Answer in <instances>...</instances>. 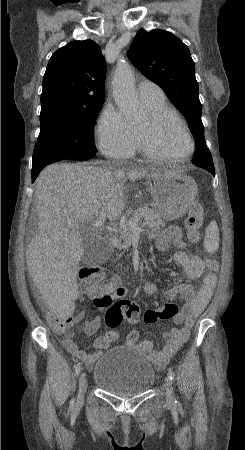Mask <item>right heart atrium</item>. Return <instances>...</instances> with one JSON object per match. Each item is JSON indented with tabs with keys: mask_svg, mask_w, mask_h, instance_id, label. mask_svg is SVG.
<instances>
[{
	"mask_svg": "<svg viewBox=\"0 0 245 450\" xmlns=\"http://www.w3.org/2000/svg\"><path fill=\"white\" fill-rule=\"evenodd\" d=\"M96 141L100 151L113 159L123 160L138 148L135 128L114 106L107 105L96 127Z\"/></svg>",
	"mask_w": 245,
	"mask_h": 450,
	"instance_id": "obj_1",
	"label": "right heart atrium"
}]
</instances>
